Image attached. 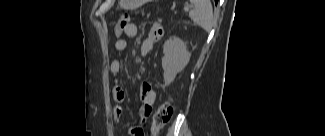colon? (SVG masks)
<instances>
[{
    "instance_id": "colon-1",
    "label": "colon",
    "mask_w": 325,
    "mask_h": 136,
    "mask_svg": "<svg viewBox=\"0 0 325 136\" xmlns=\"http://www.w3.org/2000/svg\"><path fill=\"white\" fill-rule=\"evenodd\" d=\"M130 15H122L114 29L115 36L120 38L124 29L130 24ZM173 115V107L170 102L162 103L156 110L151 123L152 134L158 133L170 120Z\"/></svg>"
}]
</instances>
